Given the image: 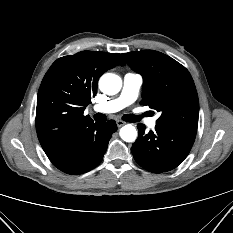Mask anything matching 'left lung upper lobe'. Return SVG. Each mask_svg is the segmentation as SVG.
Segmentation results:
<instances>
[{"instance_id":"left-lung-upper-lobe-1","label":"left lung upper lobe","mask_w":233,"mask_h":233,"mask_svg":"<svg viewBox=\"0 0 233 233\" xmlns=\"http://www.w3.org/2000/svg\"><path fill=\"white\" fill-rule=\"evenodd\" d=\"M143 77L142 104L160 113L157 125L197 130L199 101L188 70L153 50L122 54Z\"/></svg>"}]
</instances>
